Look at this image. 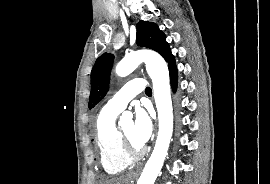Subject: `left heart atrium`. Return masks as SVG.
I'll use <instances>...</instances> for the list:
<instances>
[{
    "mask_svg": "<svg viewBox=\"0 0 270 184\" xmlns=\"http://www.w3.org/2000/svg\"><path fill=\"white\" fill-rule=\"evenodd\" d=\"M134 137L141 145H144L151 137L153 125L146 110L137 108L135 112Z\"/></svg>",
    "mask_w": 270,
    "mask_h": 184,
    "instance_id": "obj_1",
    "label": "left heart atrium"
}]
</instances>
